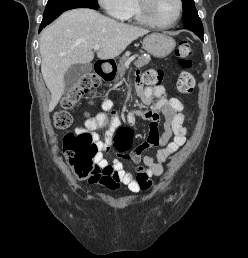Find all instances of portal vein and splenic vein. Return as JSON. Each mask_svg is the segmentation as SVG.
I'll return each mask as SVG.
<instances>
[{"label": "portal vein and splenic vein", "mask_w": 248, "mask_h": 258, "mask_svg": "<svg viewBox=\"0 0 248 258\" xmlns=\"http://www.w3.org/2000/svg\"><path fill=\"white\" fill-rule=\"evenodd\" d=\"M100 45L99 44H97V45H95L94 46V50H96V51H98L99 49H100ZM135 59V56H132V57H130L128 60H127V62H126V67H128L129 65H130V63L133 61Z\"/></svg>", "instance_id": "18ae733b"}]
</instances>
